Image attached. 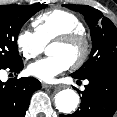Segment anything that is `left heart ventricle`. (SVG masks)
Instances as JSON below:
<instances>
[{"label":"left heart ventricle","instance_id":"obj_1","mask_svg":"<svg viewBox=\"0 0 117 117\" xmlns=\"http://www.w3.org/2000/svg\"><path fill=\"white\" fill-rule=\"evenodd\" d=\"M48 54L51 56H62L72 63L80 54V48L77 46H64L61 44H51L48 47Z\"/></svg>","mask_w":117,"mask_h":117}]
</instances>
